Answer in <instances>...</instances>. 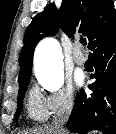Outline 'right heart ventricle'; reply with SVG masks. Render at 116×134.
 <instances>
[{"label":"right heart ventricle","mask_w":116,"mask_h":134,"mask_svg":"<svg viewBox=\"0 0 116 134\" xmlns=\"http://www.w3.org/2000/svg\"><path fill=\"white\" fill-rule=\"evenodd\" d=\"M26 109L29 118L35 121H43L48 116L43 100L36 90L30 91L27 97Z\"/></svg>","instance_id":"obj_1"}]
</instances>
